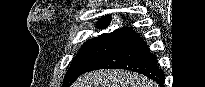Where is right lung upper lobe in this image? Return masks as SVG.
<instances>
[{
	"label": "right lung upper lobe",
	"mask_w": 205,
	"mask_h": 87,
	"mask_svg": "<svg viewBox=\"0 0 205 87\" xmlns=\"http://www.w3.org/2000/svg\"><path fill=\"white\" fill-rule=\"evenodd\" d=\"M111 16L110 15H106L104 17H102L100 20H98L97 22V28L99 29H105L109 26L110 22H111ZM114 32H124V33H130L132 35H134L136 32L130 28H121L118 30H115Z\"/></svg>",
	"instance_id": "obj_1"
}]
</instances>
